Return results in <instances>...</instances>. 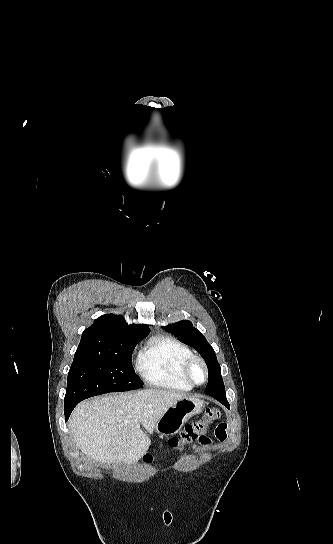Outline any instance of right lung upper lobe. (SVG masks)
Instances as JSON below:
<instances>
[{
  "instance_id": "1",
  "label": "right lung upper lobe",
  "mask_w": 333,
  "mask_h": 544,
  "mask_svg": "<svg viewBox=\"0 0 333 544\" xmlns=\"http://www.w3.org/2000/svg\"><path fill=\"white\" fill-rule=\"evenodd\" d=\"M149 334L145 324L128 325L120 315L106 314L97 318L82 333L77 350L106 351L109 345L123 338H144Z\"/></svg>"
}]
</instances>
